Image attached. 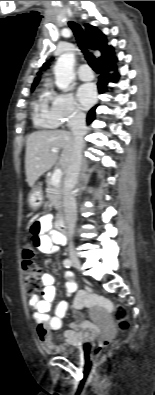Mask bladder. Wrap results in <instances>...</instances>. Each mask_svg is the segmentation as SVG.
Returning a JSON list of instances; mask_svg holds the SVG:
<instances>
[{
    "instance_id": "obj_1",
    "label": "bladder",
    "mask_w": 155,
    "mask_h": 395,
    "mask_svg": "<svg viewBox=\"0 0 155 395\" xmlns=\"http://www.w3.org/2000/svg\"><path fill=\"white\" fill-rule=\"evenodd\" d=\"M56 352L66 358L72 359V360H79L81 355H82V350L76 346L72 345H62L59 346L56 350Z\"/></svg>"
}]
</instances>
